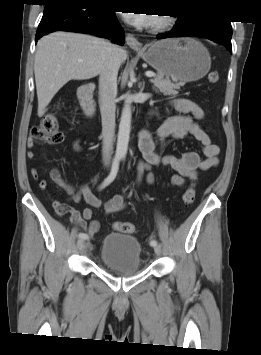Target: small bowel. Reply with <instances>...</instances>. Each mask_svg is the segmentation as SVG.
<instances>
[{
	"instance_id": "small-bowel-1",
	"label": "small bowel",
	"mask_w": 261,
	"mask_h": 355,
	"mask_svg": "<svg viewBox=\"0 0 261 355\" xmlns=\"http://www.w3.org/2000/svg\"><path fill=\"white\" fill-rule=\"evenodd\" d=\"M172 105L178 114L165 121L155 134L146 130L140 132L139 149L143 160L137 166V184L141 182L143 172H147L146 182L151 184L154 182L152 171L154 167L170 166L175 171L170 177V184L182 187L186 179L196 180L200 170H209L218 164L220 148L211 141L208 134L198 124V121L204 119L203 109L194 101L186 98H177L172 101ZM187 138L200 144L204 158H201L195 151L186 152L179 157L163 153L168 139L182 140ZM28 144L30 147L32 146L31 141ZM73 146L76 150H80L79 140H76ZM27 156L30 159L33 158L34 152L28 151ZM30 173L35 180L39 179V172L36 168H31ZM49 175L52 181L64 189L74 202H79L83 198L94 208L102 207L106 215L117 213L126 207L125 194L114 195L103 203L91 193L87 185H82L76 191L75 187L61 176L58 169H50ZM39 185L42 189L47 187L45 180H41ZM56 207L58 214H69L71 221L83 231H87L89 235L93 236L99 230L100 224L93 219L92 209L85 208L80 213L66 205L56 204Z\"/></svg>"
}]
</instances>
